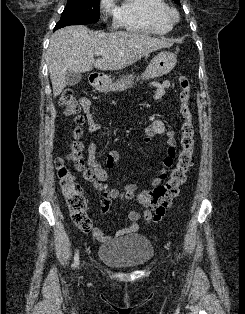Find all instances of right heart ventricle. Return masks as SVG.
I'll return each mask as SVG.
<instances>
[{"label":"right heart ventricle","instance_id":"e07e8e85","mask_svg":"<svg viewBox=\"0 0 245 314\" xmlns=\"http://www.w3.org/2000/svg\"><path fill=\"white\" fill-rule=\"evenodd\" d=\"M164 0H123L116 8L115 22L131 32L165 34L172 28L163 15Z\"/></svg>","mask_w":245,"mask_h":314}]
</instances>
